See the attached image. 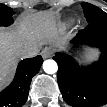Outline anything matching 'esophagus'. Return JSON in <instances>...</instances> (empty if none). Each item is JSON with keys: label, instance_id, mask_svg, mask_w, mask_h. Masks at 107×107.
<instances>
[{"label": "esophagus", "instance_id": "1", "mask_svg": "<svg viewBox=\"0 0 107 107\" xmlns=\"http://www.w3.org/2000/svg\"><path fill=\"white\" fill-rule=\"evenodd\" d=\"M53 55V50L49 47H45L42 51H41V56L44 59L50 58Z\"/></svg>", "mask_w": 107, "mask_h": 107}]
</instances>
